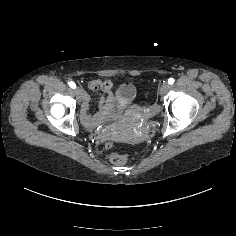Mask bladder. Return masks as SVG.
<instances>
[{
    "label": "bladder",
    "instance_id": "bladder-1",
    "mask_svg": "<svg viewBox=\"0 0 236 236\" xmlns=\"http://www.w3.org/2000/svg\"><path fill=\"white\" fill-rule=\"evenodd\" d=\"M117 97L127 103L132 102L137 96V89L134 83H121L117 89Z\"/></svg>",
    "mask_w": 236,
    "mask_h": 236
}]
</instances>
